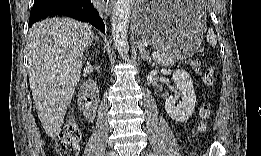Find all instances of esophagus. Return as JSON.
Segmentation results:
<instances>
[{"mask_svg":"<svg viewBox=\"0 0 261 156\" xmlns=\"http://www.w3.org/2000/svg\"><path fill=\"white\" fill-rule=\"evenodd\" d=\"M111 6H112V2L105 3V8L103 9V12H105L106 14L109 13L111 11Z\"/></svg>","mask_w":261,"mask_h":156,"instance_id":"esophagus-1","label":"esophagus"}]
</instances>
